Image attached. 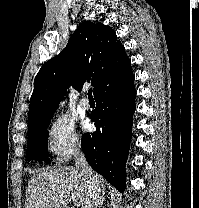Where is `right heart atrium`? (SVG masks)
I'll return each mask as SVG.
<instances>
[{
	"mask_svg": "<svg viewBox=\"0 0 199 208\" xmlns=\"http://www.w3.org/2000/svg\"><path fill=\"white\" fill-rule=\"evenodd\" d=\"M47 147L58 162H65L82 147V138L75 122L67 116H59L49 125Z\"/></svg>",
	"mask_w": 199,
	"mask_h": 208,
	"instance_id": "right-heart-atrium-1",
	"label": "right heart atrium"
}]
</instances>
